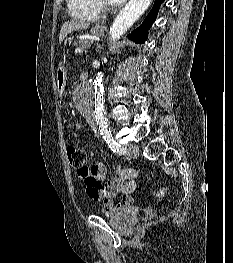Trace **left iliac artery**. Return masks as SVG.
I'll list each match as a JSON object with an SVG mask.
<instances>
[{"instance_id": "left-iliac-artery-1", "label": "left iliac artery", "mask_w": 233, "mask_h": 263, "mask_svg": "<svg viewBox=\"0 0 233 263\" xmlns=\"http://www.w3.org/2000/svg\"><path fill=\"white\" fill-rule=\"evenodd\" d=\"M103 135L104 140L108 144L109 148L116 154L122 155L126 153V149L123 148L120 144H118L110 130H105L101 133Z\"/></svg>"}]
</instances>
